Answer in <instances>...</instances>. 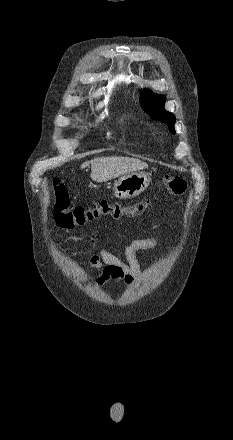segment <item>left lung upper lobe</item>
Listing matches in <instances>:
<instances>
[{"label": "left lung upper lobe", "mask_w": 233, "mask_h": 440, "mask_svg": "<svg viewBox=\"0 0 233 440\" xmlns=\"http://www.w3.org/2000/svg\"><path fill=\"white\" fill-rule=\"evenodd\" d=\"M165 100L166 98L164 96L146 90L142 92L140 104L153 119L165 122L168 125L169 130L175 134V116L164 109Z\"/></svg>", "instance_id": "5c2ea615"}]
</instances>
